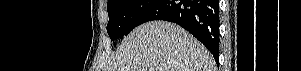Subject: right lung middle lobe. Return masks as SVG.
<instances>
[{
    "mask_svg": "<svg viewBox=\"0 0 301 71\" xmlns=\"http://www.w3.org/2000/svg\"><path fill=\"white\" fill-rule=\"evenodd\" d=\"M157 0H108L107 32L111 41L126 36Z\"/></svg>",
    "mask_w": 301,
    "mask_h": 71,
    "instance_id": "1",
    "label": "right lung middle lobe"
}]
</instances>
